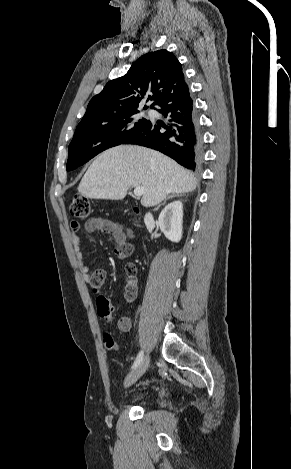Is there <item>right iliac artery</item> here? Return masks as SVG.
Segmentation results:
<instances>
[{
	"instance_id": "obj_1",
	"label": "right iliac artery",
	"mask_w": 291,
	"mask_h": 469,
	"mask_svg": "<svg viewBox=\"0 0 291 469\" xmlns=\"http://www.w3.org/2000/svg\"><path fill=\"white\" fill-rule=\"evenodd\" d=\"M142 359H143V351H140L139 354H138L137 357H136V360H135V362H134L132 368H136V367L140 364V362L142 361Z\"/></svg>"
}]
</instances>
